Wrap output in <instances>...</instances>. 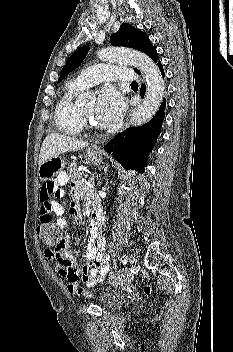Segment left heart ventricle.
<instances>
[{"instance_id":"1","label":"left heart ventricle","mask_w":233,"mask_h":352,"mask_svg":"<svg viewBox=\"0 0 233 352\" xmlns=\"http://www.w3.org/2000/svg\"><path fill=\"white\" fill-rule=\"evenodd\" d=\"M85 113L89 116V118L95 122L94 111H95V103L91 102L82 107Z\"/></svg>"}]
</instances>
